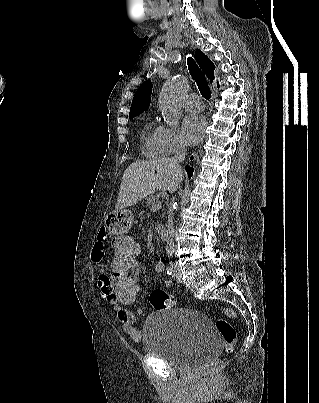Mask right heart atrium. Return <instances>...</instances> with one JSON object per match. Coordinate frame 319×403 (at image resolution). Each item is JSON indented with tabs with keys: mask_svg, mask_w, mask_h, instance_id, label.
Masks as SVG:
<instances>
[{
	"mask_svg": "<svg viewBox=\"0 0 319 403\" xmlns=\"http://www.w3.org/2000/svg\"><path fill=\"white\" fill-rule=\"evenodd\" d=\"M160 139L163 154L172 155L184 147L181 134L175 127L160 126Z\"/></svg>",
	"mask_w": 319,
	"mask_h": 403,
	"instance_id": "1",
	"label": "right heart atrium"
}]
</instances>
